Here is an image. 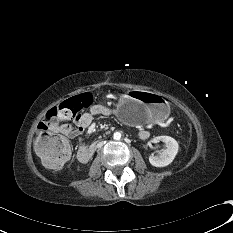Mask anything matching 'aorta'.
Here are the masks:
<instances>
[{"instance_id": "obj_1", "label": "aorta", "mask_w": 233, "mask_h": 233, "mask_svg": "<svg viewBox=\"0 0 233 233\" xmlns=\"http://www.w3.org/2000/svg\"><path fill=\"white\" fill-rule=\"evenodd\" d=\"M113 138H114L115 140H120V139H121V133H120V132H115V133L113 134Z\"/></svg>"}]
</instances>
